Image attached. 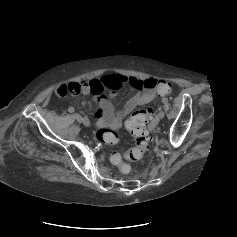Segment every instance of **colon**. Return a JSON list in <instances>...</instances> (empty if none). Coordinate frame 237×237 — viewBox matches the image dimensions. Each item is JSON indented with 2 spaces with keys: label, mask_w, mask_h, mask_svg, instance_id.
<instances>
[{
  "label": "colon",
  "mask_w": 237,
  "mask_h": 237,
  "mask_svg": "<svg viewBox=\"0 0 237 237\" xmlns=\"http://www.w3.org/2000/svg\"><path fill=\"white\" fill-rule=\"evenodd\" d=\"M157 89L160 95L166 96L172 92V84L161 80L157 82ZM154 122V114L151 109H141L135 111L126 122V127L132 134L135 146L126 151L123 155L113 151L110 154V161L118 166L122 172L129 171L126 161L139 160L148 148L150 136L148 128ZM97 140L105 145H115L118 143V134L109 128H100L96 132Z\"/></svg>",
  "instance_id": "1"
}]
</instances>
